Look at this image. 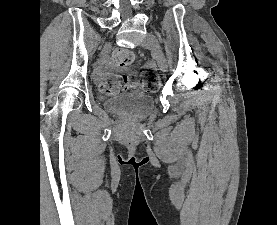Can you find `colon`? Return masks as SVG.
<instances>
[{
  "mask_svg": "<svg viewBox=\"0 0 277 225\" xmlns=\"http://www.w3.org/2000/svg\"><path fill=\"white\" fill-rule=\"evenodd\" d=\"M136 59L134 51L129 49H118L112 56L111 63L117 68L131 65ZM139 77V81L137 78ZM159 74L153 69H147L140 74L135 72L121 75H113L102 80L99 93L103 96H112L121 91L133 89L139 83L140 87L147 92H155L159 87Z\"/></svg>",
  "mask_w": 277,
  "mask_h": 225,
  "instance_id": "obj_1",
  "label": "colon"
}]
</instances>
